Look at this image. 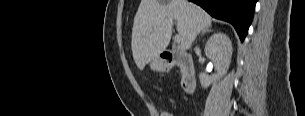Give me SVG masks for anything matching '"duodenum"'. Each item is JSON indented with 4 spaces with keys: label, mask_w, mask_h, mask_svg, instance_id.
I'll return each mask as SVG.
<instances>
[{
    "label": "duodenum",
    "mask_w": 305,
    "mask_h": 116,
    "mask_svg": "<svg viewBox=\"0 0 305 116\" xmlns=\"http://www.w3.org/2000/svg\"><path fill=\"white\" fill-rule=\"evenodd\" d=\"M161 59L167 69L178 65L181 69V83L185 93L191 94L196 85V74L191 56L183 53H176L172 51H164L161 54Z\"/></svg>",
    "instance_id": "1"
}]
</instances>
